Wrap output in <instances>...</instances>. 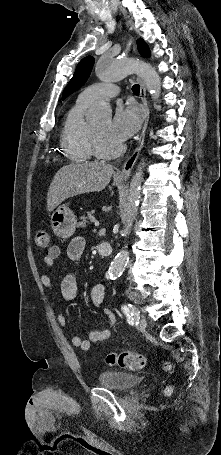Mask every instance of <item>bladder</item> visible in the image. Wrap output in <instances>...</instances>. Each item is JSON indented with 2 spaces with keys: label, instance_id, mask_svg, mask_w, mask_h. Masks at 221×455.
Returning a JSON list of instances; mask_svg holds the SVG:
<instances>
[{
  "label": "bladder",
  "instance_id": "bladder-1",
  "mask_svg": "<svg viewBox=\"0 0 221 455\" xmlns=\"http://www.w3.org/2000/svg\"><path fill=\"white\" fill-rule=\"evenodd\" d=\"M98 383L110 389L127 391L137 387L141 383V378L121 371L102 370L98 375Z\"/></svg>",
  "mask_w": 221,
  "mask_h": 455
}]
</instances>
